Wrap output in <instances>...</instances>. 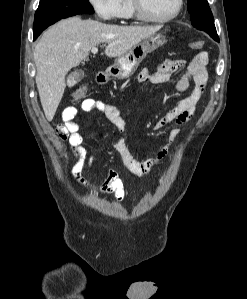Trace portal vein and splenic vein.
I'll use <instances>...</instances> for the list:
<instances>
[{
  "instance_id": "portal-vein-and-splenic-vein-1",
  "label": "portal vein and splenic vein",
  "mask_w": 247,
  "mask_h": 299,
  "mask_svg": "<svg viewBox=\"0 0 247 299\" xmlns=\"http://www.w3.org/2000/svg\"><path fill=\"white\" fill-rule=\"evenodd\" d=\"M91 52H92L93 54H96V53L98 52V48H97V47H93V48L91 49Z\"/></svg>"
}]
</instances>
